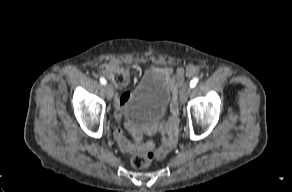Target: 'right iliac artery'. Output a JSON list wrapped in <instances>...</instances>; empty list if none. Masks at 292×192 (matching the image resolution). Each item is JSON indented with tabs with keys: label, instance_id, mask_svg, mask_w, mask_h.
Masks as SVG:
<instances>
[{
	"label": "right iliac artery",
	"instance_id": "obj_1",
	"mask_svg": "<svg viewBox=\"0 0 292 192\" xmlns=\"http://www.w3.org/2000/svg\"><path fill=\"white\" fill-rule=\"evenodd\" d=\"M100 83H101L102 85H106L107 81H106V79H105L104 77H101V78H100Z\"/></svg>",
	"mask_w": 292,
	"mask_h": 192
}]
</instances>
